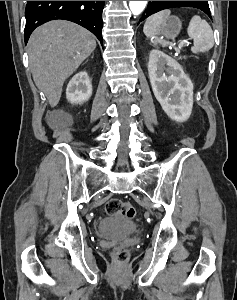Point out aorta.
Masks as SVG:
<instances>
[{
    "instance_id": "762f6f07",
    "label": "aorta",
    "mask_w": 237,
    "mask_h": 300,
    "mask_svg": "<svg viewBox=\"0 0 237 300\" xmlns=\"http://www.w3.org/2000/svg\"><path fill=\"white\" fill-rule=\"evenodd\" d=\"M148 1H130L129 7L133 15H140L144 11Z\"/></svg>"
}]
</instances>
